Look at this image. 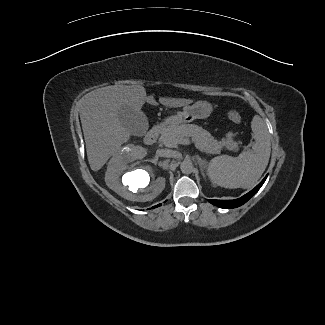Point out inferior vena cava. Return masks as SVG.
Masks as SVG:
<instances>
[{
    "label": "inferior vena cava",
    "mask_w": 325,
    "mask_h": 325,
    "mask_svg": "<svg viewBox=\"0 0 325 325\" xmlns=\"http://www.w3.org/2000/svg\"><path fill=\"white\" fill-rule=\"evenodd\" d=\"M156 154L160 157H175L176 152L170 149H159Z\"/></svg>",
    "instance_id": "1"
}]
</instances>
